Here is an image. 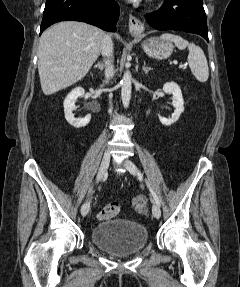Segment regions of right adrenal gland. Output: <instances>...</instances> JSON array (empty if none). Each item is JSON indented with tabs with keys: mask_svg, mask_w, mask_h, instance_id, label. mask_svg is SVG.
<instances>
[{
	"mask_svg": "<svg viewBox=\"0 0 240 287\" xmlns=\"http://www.w3.org/2000/svg\"><path fill=\"white\" fill-rule=\"evenodd\" d=\"M95 68H99L101 71L104 69V67H105V65L103 64V63H97L95 66H94Z\"/></svg>",
	"mask_w": 240,
	"mask_h": 287,
	"instance_id": "1",
	"label": "right adrenal gland"
}]
</instances>
